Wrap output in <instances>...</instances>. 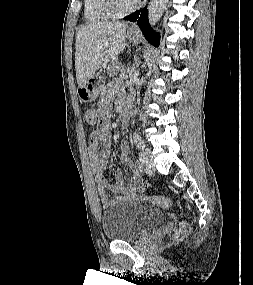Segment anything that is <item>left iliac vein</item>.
Returning a JSON list of instances; mask_svg holds the SVG:
<instances>
[{
    "label": "left iliac vein",
    "instance_id": "4c4485c4",
    "mask_svg": "<svg viewBox=\"0 0 253 285\" xmlns=\"http://www.w3.org/2000/svg\"><path fill=\"white\" fill-rule=\"evenodd\" d=\"M140 160L146 173H153L155 171L153 156L149 148L146 147L141 150Z\"/></svg>",
    "mask_w": 253,
    "mask_h": 285
}]
</instances>
